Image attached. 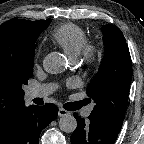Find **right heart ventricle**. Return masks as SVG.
Wrapping results in <instances>:
<instances>
[{
  "label": "right heart ventricle",
  "mask_w": 144,
  "mask_h": 144,
  "mask_svg": "<svg viewBox=\"0 0 144 144\" xmlns=\"http://www.w3.org/2000/svg\"><path fill=\"white\" fill-rule=\"evenodd\" d=\"M51 40L70 57H75L80 53L84 43L87 41V35L80 26L65 23L52 31Z\"/></svg>",
  "instance_id": "1"
}]
</instances>
